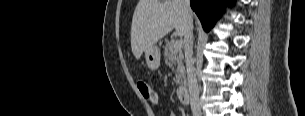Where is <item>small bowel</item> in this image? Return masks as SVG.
I'll return each instance as SVG.
<instances>
[{"label": "small bowel", "mask_w": 305, "mask_h": 116, "mask_svg": "<svg viewBox=\"0 0 305 116\" xmlns=\"http://www.w3.org/2000/svg\"><path fill=\"white\" fill-rule=\"evenodd\" d=\"M164 109H165V115H167V116H174V114L171 113L166 107H164Z\"/></svg>", "instance_id": "c3829d8e"}]
</instances>
